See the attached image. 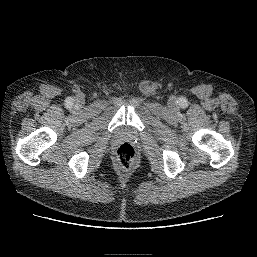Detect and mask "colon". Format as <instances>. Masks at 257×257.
<instances>
[{"label": "colon", "mask_w": 257, "mask_h": 257, "mask_svg": "<svg viewBox=\"0 0 257 257\" xmlns=\"http://www.w3.org/2000/svg\"><path fill=\"white\" fill-rule=\"evenodd\" d=\"M135 155V149L131 144H121L117 149V162L119 167L129 169L135 160Z\"/></svg>", "instance_id": "obj_1"}]
</instances>
